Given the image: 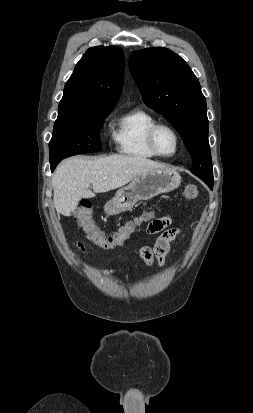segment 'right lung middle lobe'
<instances>
[{"label":"right lung middle lobe","mask_w":253,"mask_h":413,"mask_svg":"<svg viewBox=\"0 0 253 413\" xmlns=\"http://www.w3.org/2000/svg\"><path fill=\"white\" fill-rule=\"evenodd\" d=\"M110 111L92 116L57 118L49 143L50 163L69 156L101 150L99 131Z\"/></svg>","instance_id":"right-lung-middle-lobe-1"}]
</instances>
